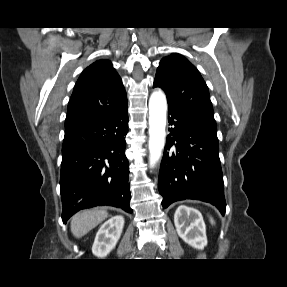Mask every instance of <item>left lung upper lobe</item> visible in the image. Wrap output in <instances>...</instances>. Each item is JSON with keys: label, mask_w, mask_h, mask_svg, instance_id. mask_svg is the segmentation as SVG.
Segmentation results:
<instances>
[{"label": "left lung upper lobe", "mask_w": 287, "mask_h": 287, "mask_svg": "<svg viewBox=\"0 0 287 287\" xmlns=\"http://www.w3.org/2000/svg\"><path fill=\"white\" fill-rule=\"evenodd\" d=\"M154 87L163 89L169 107L216 134L208 87L196 67L185 57L180 54L164 57L157 69Z\"/></svg>", "instance_id": "left-lung-upper-lobe-1"}]
</instances>
